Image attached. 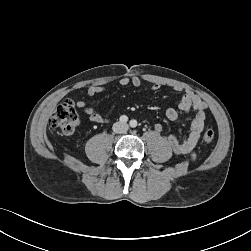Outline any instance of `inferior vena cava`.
<instances>
[{"instance_id": "inferior-vena-cava-1", "label": "inferior vena cava", "mask_w": 251, "mask_h": 251, "mask_svg": "<svg viewBox=\"0 0 251 251\" xmlns=\"http://www.w3.org/2000/svg\"><path fill=\"white\" fill-rule=\"evenodd\" d=\"M128 128H129L128 125L122 122H116L113 125V131L115 133H126Z\"/></svg>"}]
</instances>
